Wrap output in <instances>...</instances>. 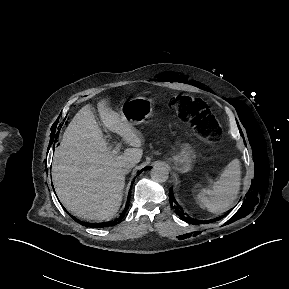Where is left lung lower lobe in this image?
<instances>
[{
    "label": "left lung lower lobe",
    "mask_w": 289,
    "mask_h": 289,
    "mask_svg": "<svg viewBox=\"0 0 289 289\" xmlns=\"http://www.w3.org/2000/svg\"><path fill=\"white\" fill-rule=\"evenodd\" d=\"M169 201H170V205L172 208H174L175 212L177 215H179L184 221L191 223V224H199V223H210V222H214L217 221L219 219H221L222 217H218L212 220H208V221H197L194 219H191L189 217H186L183 213L182 208L180 207V205L176 202L171 190L169 189Z\"/></svg>",
    "instance_id": "obj_1"
}]
</instances>
